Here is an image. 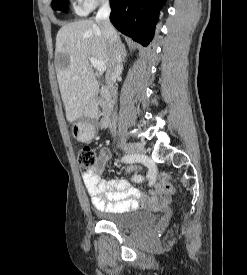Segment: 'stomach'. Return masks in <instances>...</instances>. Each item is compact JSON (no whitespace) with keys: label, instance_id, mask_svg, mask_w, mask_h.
I'll list each match as a JSON object with an SVG mask.
<instances>
[{"label":"stomach","instance_id":"obj_1","mask_svg":"<svg viewBox=\"0 0 247 275\" xmlns=\"http://www.w3.org/2000/svg\"><path fill=\"white\" fill-rule=\"evenodd\" d=\"M72 135L77 140L84 141L93 135V129L85 122H76L72 126Z\"/></svg>","mask_w":247,"mask_h":275}]
</instances>
